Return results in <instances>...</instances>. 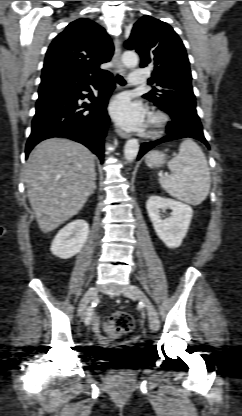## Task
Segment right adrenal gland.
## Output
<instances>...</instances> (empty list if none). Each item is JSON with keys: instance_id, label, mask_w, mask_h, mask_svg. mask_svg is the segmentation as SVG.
Masks as SVG:
<instances>
[{"instance_id": "right-adrenal-gland-1", "label": "right adrenal gland", "mask_w": 242, "mask_h": 416, "mask_svg": "<svg viewBox=\"0 0 242 416\" xmlns=\"http://www.w3.org/2000/svg\"><path fill=\"white\" fill-rule=\"evenodd\" d=\"M94 190H96V185H94Z\"/></svg>"}]
</instances>
